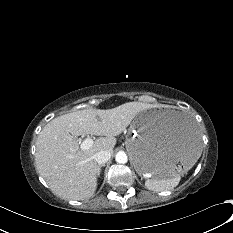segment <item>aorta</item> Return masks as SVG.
Segmentation results:
<instances>
[{
	"mask_svg": "<svg viewBox=\"0 0 233 233\" xmlns=\"http://www.w3.org/2000/svg\"><path fill=\"white\" fill-rule=\"evenodd\" d=\"M115 160L117 163L125 164L128 161L127 154L124 151H119L115 156Z\"/></svg>",
	"mask_w": 233,
	"mask_h": 233,
	"instance_id": "1",
	"label": "aorta"
}]
</instances>
